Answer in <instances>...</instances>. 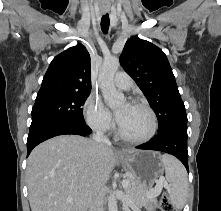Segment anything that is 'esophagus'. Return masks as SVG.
Here are the masks:
<instances>
[{
	"label": "esophagus",
	"instance_id": "34e87169",
	"mask_svg": "<svg viewBox=\"0 0 221 211\" xmlns=\"http://www.w3.org/2000/svg\"><path fill=\"white\" fill-rule=\"evenodd\" d=\"M102 12H103V13H107L108 10H107V9H103ZM117 152H118V153H121V150H117Z\"/></svg>",
	"mask_w": 221,
	"mask_h": 211
}]
</instances>
